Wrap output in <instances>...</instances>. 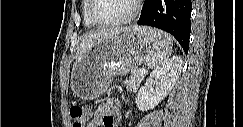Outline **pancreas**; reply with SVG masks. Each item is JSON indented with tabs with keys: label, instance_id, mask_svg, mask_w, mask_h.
<instances>
[{
	"label": "pancreas",
	"instance_id": "obj_1",
	"mask_svg": "<svg viewBox=\"0 0 243 127\" xmlns=\"http://www.w3.org/2000/svg\"><path fill=\"white\" fill-rule=\"evenodd\" d=\"M138 71L132 72L129 79L125 81V84L129 90H136L144 77V74H141Z\"/></svg>",
	"mask_w": 243,
	"mask_h": 127
}]
</instances>
